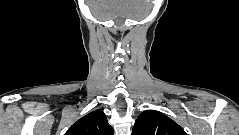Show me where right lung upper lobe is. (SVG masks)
<instances>
[{
    "instance_id": "1",
    "label": "right lung upper lobe",
    "mask_w": 239,
    "mask_h": 135,
    "mask_svg": "<svg viewBox=\"0 0 239 135\" xmlns=\"http://www.w3.org/2000/svg\"><path fill=\"white\" fill-rule=\"evenodd\" d=\"M65 135H114V131L104 112L95 110L80 118Z\"/></svg>"
}]
</instances>
